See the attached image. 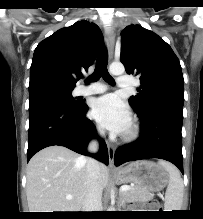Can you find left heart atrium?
<instances>
[{
    "label": "left heart atrium",
    "instance_id": "1",
    "mask_svg": "<svg viewBox=\"0 0 203 219\" xmlns=\"http://www.w3.org/2000/svg\"><path fill=\"white\" fill-rule=\"evenodd\" d=\"M92 116L103 127L116 133L126 131L131 122L127 106L115 94L97 98L92 105Z\"/></svg>",
    "mask_w": 203,
    "mask_h": 219
}]
</instances>
